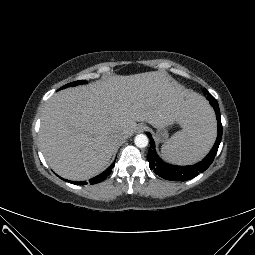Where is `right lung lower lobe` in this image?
Instances as JSON below:
<instances>
[{"mask_svg": "<svg viewBox=\"0 0 255 255\" xmlns=\"http://www.w3.org/2000/svg\"><path fill=\"white\" fill-rule=\"evenodd\" d=\"M114 167V163L109 167L107 168L104 172H102L101 174H99L98 176L92 178L89 180V183L90 184H96V183H99L101 181H103L104 179H106V177L111 173V169ZM64 180V179H63ZM68 181V180H66ZM70 183H73V184H77V185H85L87 184L86 181H82V182H73V181H68Z\"/></svg>", "mask_w": 255, "mask_h": 255, "instance_id": "obj_1", "label": "right lung lower lobe"}]
</instances>
